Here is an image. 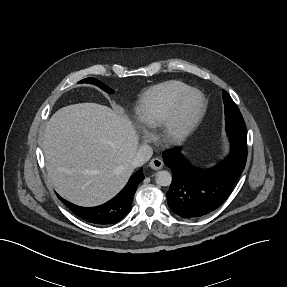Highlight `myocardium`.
<instances>
[{"label": "myocardium", "mask_w": 287, "mask_h": 287, "mask_svg": "<svg viewBox=\"0 0 287 287\" xmlns=\"http://www.w3.org/2000/svg\"><path fill=\"white\" fill-rule=\"evenodd\" d=\"M188 109L185 110L187 101ZM205 110L203 94L189 88L174 100L160 123V138L168 145L183 143L199 124Z\"/></svg>", "instance_id": "obj_1"}]
</instances>
